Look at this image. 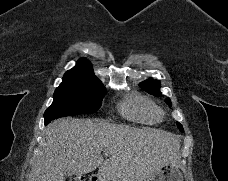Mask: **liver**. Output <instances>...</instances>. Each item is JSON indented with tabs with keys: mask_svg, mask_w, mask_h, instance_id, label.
<instances>
[{
	"mask_svg": "<svg viewBox=\"0 0 228 181\" xmlns=\"http://www.w3.org/2000/svg\"><path fill=\"white\" fill-rule=\"evenodd\" d=\"M45 135L30 181H65L67 173L86 175L95 169L100 181H147L162 167H177L181 147L176 135L166 131L96 119L55 121Z\"/></svg>",
	"mask_w": 228,
	"mask_h": 181,
	"instance_id": "obj_1",
	"label": "liver"
}]
</instances>
